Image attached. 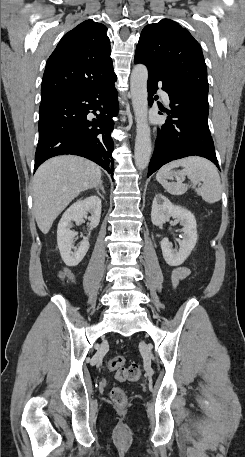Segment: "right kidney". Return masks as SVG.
I'll use <instances>...</instances> for the list:
<instances>
[{
	"label": "right kidney",
	"instance_id": "obj_1",
	"mask_svg": "<svg viewBox=\"0 0 245 457\" xmlns=\"http://www.w3.org/2000/svg\"><path fill=\"white\" fill-rule=\"evenodd\" d=\"M90 212L91 216H87ZM101 216V198L99 196H87L84 200H77L65 210L62 218L59 220L57 229V245L59 251H64L69 257L70 267H76L80 261L84 259L90 245L88 239L81 241L80 247H74L73 237L78 235L71 231L73 220L76 224L83 222L84 218H88L90 222L89 229H94L100 222ZM73 249V251H72Z\"/></svg>",
	"mask_w": 245,
	"mask_h": 457
}]
</instances>
